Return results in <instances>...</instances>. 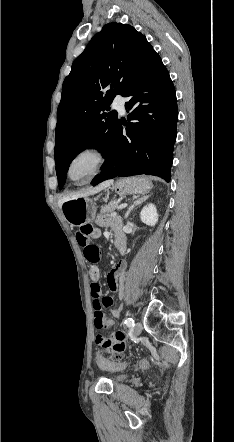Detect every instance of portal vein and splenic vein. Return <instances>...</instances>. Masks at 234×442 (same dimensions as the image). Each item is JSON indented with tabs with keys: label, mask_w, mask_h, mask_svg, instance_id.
<instances>
[{
	"label": "portal vein and splenic vein",
	"mask_w": 234,
	"mask_h": 442,
	"mask_svg": "<svg viewBox=\"0 0 234 442\" xmlns=\"http://www.w3.org/2000/svg\"><path fill=\"white\" fill-rule=\"evenodd\" d=\"M127 206V204H121L119 207H118V209H123V208H125Z\"/></svg>",
	"instance_id": "18ae733b"
}]
</instances>
